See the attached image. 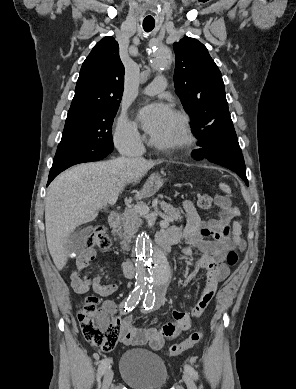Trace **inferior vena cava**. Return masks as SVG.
Here are the masks:
<instances>
[{
  "label": "inferior vena cava",
  "mask_w": 296,
  "mask_h": 389,
  "mask_svg": "<svg viewBox=\"0 0 296 389\" xmlns=\"http://www.w3.org/2000/svg\"><path fill=\"white\" fill-rule=\"evenodd\" d=\"M144 153V147L137 136L132 137L125 149L124 154L128 158H140Z\"/></svg>",
  "instance_id": "inferior-vena-cava-1"
}]
</instances>
